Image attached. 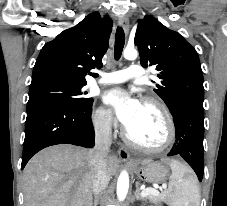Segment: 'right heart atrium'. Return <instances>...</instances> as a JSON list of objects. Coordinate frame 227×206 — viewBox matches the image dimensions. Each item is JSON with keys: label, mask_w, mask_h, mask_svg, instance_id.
<instances>
[{"label": "right heart atrium", "mask_w": 227, "mask_h": 206, "mask_svg": "<svg viewBox=\"0 0 227 206\" xmlns=\"http://www.w3.org/2000/svg\"><path fill=\"white\" fill-rule=\"evenodd\" d=\"M93 123L99 131L107 132L113 127L114 118L109 110L98 107L93 113Z\"/></svg>", "instance_id": "obj_1"}]
</instances>
